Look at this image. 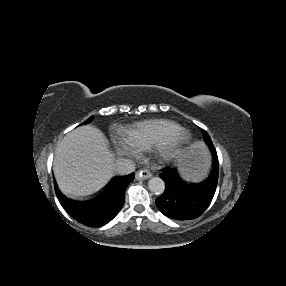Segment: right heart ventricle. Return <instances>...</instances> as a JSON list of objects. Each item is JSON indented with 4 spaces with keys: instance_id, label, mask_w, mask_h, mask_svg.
Wrapping results in <instances>:
<instances>
[{
    "instance_id": "1",
    "label": "right heart ventricle",
    "mask_w": 286,
    "mask_h": 286,
    "mask_svg": "<svg viewBox=\"0 0 286 286\" xmlns=\"http://www.w3.org/2000/svg\"><path fill=\"white\" fill-rule=\"evenodd\" d=\"M181 130L182 126L175 121L151 119L134 124L128 133L130 139L142 150L168 140Z\"/></svg>"
}]
</instances>
